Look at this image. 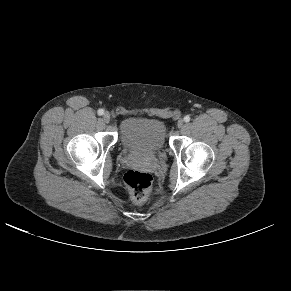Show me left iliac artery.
<instances>
[{
    "instance_id": "1",
    "label": "left iliac artery",
    "mask_w": 291,
    "mask_h": 291,
    "mask_svg": "<svg viewBox=\"0 0 291 291\" xmlns=\"http://www.w3.org/2000/svg\"><path fill=\"white\" fill-rule=\"evenodd\" d=\"M184 121H185V122H189V121H190V117H189L188 115H186V116L184 117Z\"/></svg>"
}]
</instances>
